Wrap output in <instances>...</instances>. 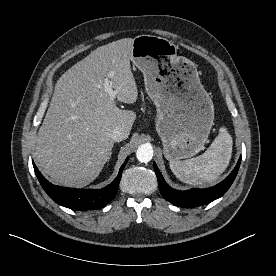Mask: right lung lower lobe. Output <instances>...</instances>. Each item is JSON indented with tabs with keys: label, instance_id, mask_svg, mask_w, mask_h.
<instances>
[{
	"label": "right lung lower lobe",
	"instance_id": "98d812e1",
	"mask_svg": "<svg viewBox=\"0 0 276 276\" xmlns=\"http://www.w3.org/2000/svg\"><path fill=\"white\" fill-rule=\"evenodd\" d=\"M127 160L128 158L121 166L119 174L115 180L100 190L72 189L55 186L44 178L34 163L33 167L43 189L56 203L72 210H93L105 206L115 197L118 191L122 171L127 163Z\"/></svg>",
	"mask_w": 276,
	"mask_h": 276
}]
</instances>
